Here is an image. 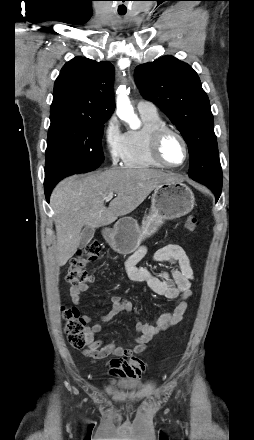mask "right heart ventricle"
Listing matches in <instances>:
<instances>
[{
    "instance_id": "e07e8e85",
    "label": "right heart ventricle",
    "mask_w": 254,
    "mask_h": 440,
    "mask_svg": "<svg viewBox=\"0 0 254 440\" xmlns=\"http://www.w3.org/2000/svg\"><path fill=\"white\" fill-rule=\"evenodd\" d=\"M140 115L142 127L126 133L123 164L130 168H164L151 156L150 141L153 132L167 124L157 112H140Z\"/></svg>"
}]
</instances>
